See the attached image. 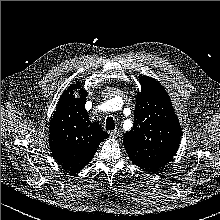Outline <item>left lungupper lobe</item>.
<instances>
[{
	"label": "left lung upper lobe",
	"mask_w": 220,
	"mask_h": 220,
	"mask_svg": "<svg viewBox=\"0 0 220 220\" xmlns=\"http://www.w3.org/2000/svg\"><path fill=\"white\" fill-rule=\"evenodd\" d=\"M134 125L124 135L131 161L144 171L157 172L171 161L179 148L181 126L171 100L155 79L142 76Z\"/></svg>",
	"instance_id": "left-lung-upper-lobe-1"
}]
</instances>
